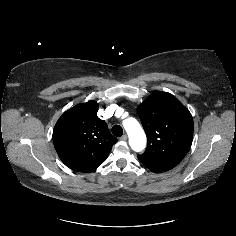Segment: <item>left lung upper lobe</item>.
<instances>
[{
  "instance_id": "obj_1",
  "label": "left lung upper lobe",
  "mask_w": 236,
  "mask_h": 236,
  "mask_svg": "<svg viewBox=\"0 0 236 236\" xmlns=\"http://www.w3.org/2000/svg\"><path fill=\"white\" fill-rule=\"evenodd\" d=\"M147 135V149L139 161L153 172L177 166L188 153L193 139V118L173 95L155 92L137 107Z\"/></svg>"
}]
</instances>
